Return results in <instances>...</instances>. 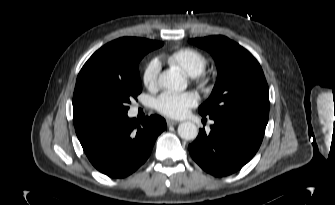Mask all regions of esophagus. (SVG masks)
I'll return each instance as SVG.
<instances>
[{"label":"esophagus","mask_w":335,"mask_h":205,"mask_svg":"<svg viewBox=\"0 0 335 205\" xmlns=\"http://www.w3.org/2000/svg\"><path fill=\"white\" fill-rule=\"evenodd\" d=\"M178 123H179V121L172 120V119H167V125L168 126H170V125H176Z\"/></svg>","instance_id":"esophagus-1"}]
</instances>
